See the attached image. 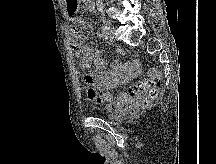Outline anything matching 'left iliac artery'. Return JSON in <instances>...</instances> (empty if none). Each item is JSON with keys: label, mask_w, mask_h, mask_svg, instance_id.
Wrapping results in <instances>:
<instances>
[{"label": "left iliac artery", "mask_w": 216, "mask_h": 164, "mask_svg": "<svg viewBox=\"0 0 216 164\" xmlns=\"http://www.w3.org/2000/svg\"><path fill=\"white\" fill-rule=\"evenodd\" d=\"M101 30H102V35L105 36V39H108V38H109V35H108V26L103 25V26L101 27Z\"/></svg>", "instance_id": "left-iliac-artery-1"}]
</instances>
